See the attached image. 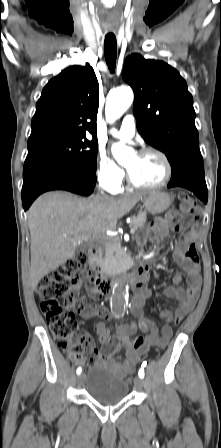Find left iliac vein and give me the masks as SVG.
Returning <instances> with one entry per match:
<instances>
[{
  "label": "left iliac vein",
  "instance_id": "4c4485c4",
  "mask_svg": "<svg viewBox=\"0 0 221 448\" xmlns=\"http://www.w3.org/2000/svg\"><path fill=\"white\" fill-rule=\"evenodd\" d=\"M134 386L136 389H140L143 386V380L140 377L134 379Z\"/></svg>",
  "mask_w": 221,
  "mask_h": 448
}]
</instances>
